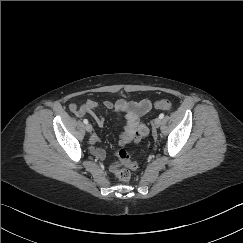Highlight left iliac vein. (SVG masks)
<instances>
[{"instance_id": "1", "label": "left iliac vein", "mask_w": 243, "mask_h": 243, "mask_svg": "<svg viewBox=\"0 0 243 243\" xmlns=\"http://www.w3.org/2000/svg\"><path fill=\"white\" fill-rule=\"evenodd\" d=\"M160 125H161V119H160V118H156V119L154 120V126H155L156 128H158Z\"/></svg>"}]
</instances>
